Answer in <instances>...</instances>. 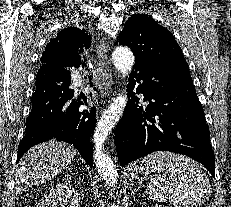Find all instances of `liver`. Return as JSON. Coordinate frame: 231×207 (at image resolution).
<instances>
[{
  "instance_id": "1",
  "label": "liver",
  "mask_w": 231,
  "mask_h": 207,
  "mask_svg": "<svg viewBox=\"0 0 231 207\" xmlns=\"http://www.w3.org/2000/svg\"><path fill=\"white\" fill-rule=\"evenodd\" d=\"M77 154L73 146L55 140L32 147L22 157L16 169V194H21L33 185L52 180Z\"/></svg>"
}]
</instances>
